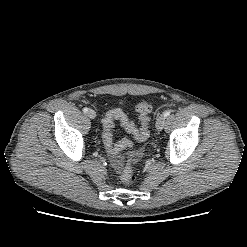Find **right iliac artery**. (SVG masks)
Listing matches in <instances>:
<instances>
[{"label": "right iliac artery", "instance_id": "obj_1", "mask_svg": "<svg viewBox=\"0 0 247 247\" xmlns=\"http://www.w3.org/2000/svg\"><path fill=\"white\" fill-rule=\"evenodd\" d=\"M83 112H84V113H87V112H88V108H87V107H84V108H83Z\"/></svg>", "mask_w": 247, "mask_h": 247}]
</instances>
